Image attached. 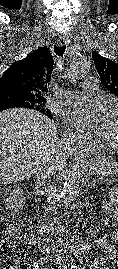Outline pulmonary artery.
I'll return each instance as SVG.
<instances>
[{
  "label": "pulmonary artery",
  "mask_w": 118,
  "mask_h": 269,
  "mask_svg": "<svg viewBox=\"0 0 118 269\" xmlns=\"http://www.w3.org/2000/svg\"><path fill=\"white\" fill-rule=\"evenodd\" d=\"M97 87V79L94 77H88L83 82V91H67L64 97L59 101L66 106H75L81 104L90 96V94L97 90Z\"/></svg>",
  "instance_id": "pulmonary-artery-1"
}]
</instances>
